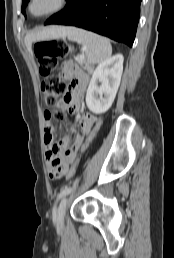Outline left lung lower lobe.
<instances>
[{
	"instance_id": "obj_1",
	"label": "left lung lower lobe",
	"mask_w": 174,
	"mask_h": 258,
	"mask_svg": "<svg viewBox=\"0 0 174 258\" xmlns=\"http://www.w3.org/2000/svg\"><path fill=\"white\" fill-rule=\"evenodd\" d=\"M141 0H67L66 7L44 24L71 25L132 46Z\"/></svg>"
}]
</instances>
